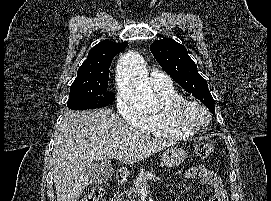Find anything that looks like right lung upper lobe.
Masks as SVG:
<instances>
[{
	"label": "right lung upper lobe",
	"mask_w": 271,
	"mask_h": 201,
	"mask_svg": "<svg viewBox=\"0 0 271 201\" xmlns=\"http://www.w3.org/2000/svg\"><path fill=\"white\" fill-rule=\"evenodd\" d=\"M128 45V42L116 43L104 40L95 45L88 53L77 72L78 77L109 74L112 59Z\"/></svg>",
	"instance_id": "obj_1"
}]
</instances>
